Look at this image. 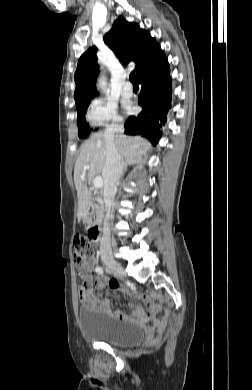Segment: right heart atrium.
I'll return each instance as SVG.
<instances>
[{"label": "right heart atrium", "mask_w": 252, "mask_h": 390, "mask_svg": "<svg viewBox=\"0 0 252 390\" xmlns=\"http://www.w3.org/2000/svg\"><path fill=\"white\" fill-rule=\"evenodd\" d=\"M87 119L97 127L116 125L122 121V117L118 114L117 105L105 98H95L91 101Z\"/></svg>", "instance_id": "obj_1"}]
</instances>
